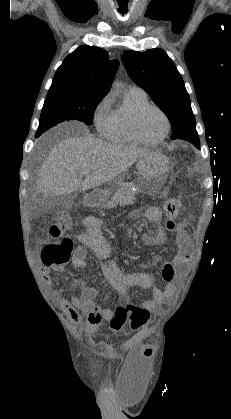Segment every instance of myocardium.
Instances as JSON below:
<instances>
[{
	"label": "myocardium",
	"instance_id": "f54148a6",
	"mask_svg": "<svg viewBox=\"0 0 231 419\" xmlns=\"http://www.w3.org/2000/svg\"><path fill=\"white\" fill-rule=\"evenodd\" d=\"M149 109H155L157 110L164 118L165 122H166V130L164 132V134L162 136H160L157 139H147L145 138L139 128V121L140 118L142 117V115ZM130 126H131V131L133 136L135 137V139L145 145H156L160 142H162L165 138H167V136L169 135L170 131H171V121L169 116L167 115V113L158 105L155 104H151V103H147L141 107H139L138 109H136L132 116H131V120H130Z\"/></svg>",
	"mask_w": 231,
	"mask_h": 419
}]
</instances>
